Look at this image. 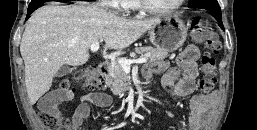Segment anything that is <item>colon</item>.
<instances>
[{
    "mask_svg": "<svg viewBox=\"0 0 257 130\" xmlns=\"http://www.w3.org/2000/svg\"><path fill=\"white\" fill-rule=\"evenodd\" d=\"M193 39L203 43V54L201 57V68L203 77L200 80V90L203 94L211 93L217 82L216 55L220 50V42L215 37L210 26L199 18L193 19L191 23ZM74 81L85 91L94 92L102 86V76L95 67H88L76 72ZM75 92L73 82L69 79L63 80L58 95L61 99H70ZM38 119L45 130H70L69 120L62 116L54 108H42L38 111Z\"/></svg>",
    "mask_w": 257,
    "mask_h": 130,
    "instance_id": "colon-1",
    "label": "colon"
}]
</instances>
